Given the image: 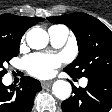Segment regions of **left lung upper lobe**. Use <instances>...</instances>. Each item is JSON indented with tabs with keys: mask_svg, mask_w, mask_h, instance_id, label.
Masks as SVG:
<instances>
[{
	"mask_svg": "<svg viewBox=\"0 0 112 112\" xmlns=\"http://www.w3.org/2000/svg\"><path fill=\"white\" fill-rule=\"evenodd\" d=\"M47 19L67 25L76 36L79 55L64 69L67 73L76 78L112 75V32L107 26L79 12Z\"/></svg>",
	"mask_w": 112,
	"mask_h": 112,
	"instance_id": "obj_1",
	"label": "left lung upper lobe"
}]
</instances>
